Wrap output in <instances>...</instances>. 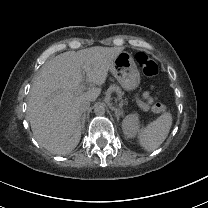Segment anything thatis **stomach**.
<instances>
[{
    "instance_id": "0dacf381",
    "label": "stomach",
    "mask_w": 208,
    "mask_h": 208,
    "mask_svg": "<svg viewBox=\"0 0 208 208\" xmlns=\"http://www.w3.org/2000/svg\"><path fill=\"white\" fill-rule=\"evenodd\" d=\"M112 75L127 90H135L140 84V74L130 53L121 51L109 67Z\"/></svg>"
}]
</instances>
